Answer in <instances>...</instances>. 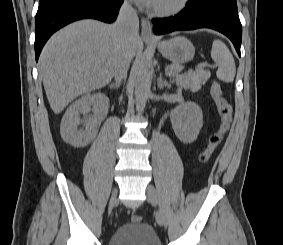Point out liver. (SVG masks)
<instances>
[{"mask_svg":"<svg viewBox=\"0 0 283 245\" xmlns=\"http://www.w3.org/2000/svg\"><path fill=\"white\" fill-rule=\"evenodd\" d=\"M140 45L138 32L130 43L131 57ZM121 50L114 25L81 20L55 33L39 58V73L55 114L78 96L106 86Z\"/></svg>","mask_w":283,"mask_h":245,"instance_id":"1","label":"liver"}]
</instances>
